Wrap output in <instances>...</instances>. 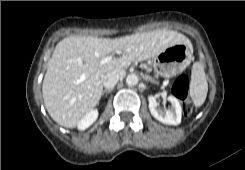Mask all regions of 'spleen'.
<instances>
[{
	"label": "spleen",
	"instance_id": "3e777b00",
	"mask_svg": "<svg viewBox=\"0 0 245 170\" xmlns=\"http://www.w3.org/2000/svg\"><path fill=\"white\" fill-rule=\"evenodd\" d=\"M208 83L204 71V67L200 62H195L191 70V81L189 94L195 107H200L207 96Z\"/></svg>",
	"mask_w": 245,
	"mask_h": 170
}]
</instances>
